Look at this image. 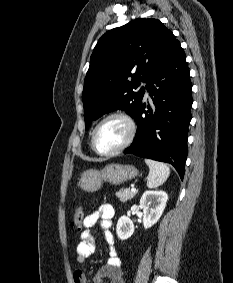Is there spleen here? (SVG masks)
<instances>
[{"label":"spleen","mask_w":233,"mask_h":283,"mask_svg":"<svg viewBox=\"0 0 233 283\" xmlns=\"http://www.w3.org/2000/svg\"><path fill=\"white\" fill-rule=\"evenodd\" d=\"M145 163L149 167L147 187L156 188L162 185L169 177L170 168L164 163L157 162L151 159H145Z\"/></svg>","instance_id":"1"}]
</instances>
